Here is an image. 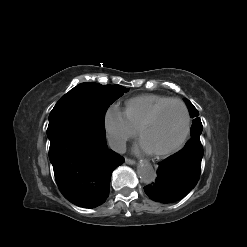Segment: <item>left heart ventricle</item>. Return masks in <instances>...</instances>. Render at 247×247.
Masks as SVG:
<instances>
[{
  "mask_svg": "<svg viewBox=\"0 0 247 247\" xmlns=\"http://www.w3.org/2000/svg\"><path fill=\"white\" fill-rule=\"evenodd\" d=\"M184 126V111L179 104L173 103L166 106L154 123L143 131L141 140L151 152L165 150L179 140Z\"/></svg>",
  "mask_w": 247,
  "mask_h": 247,
  "instance_id": "b2bd125f",
  "label": "left heart ventricle"
}]
</instances>
